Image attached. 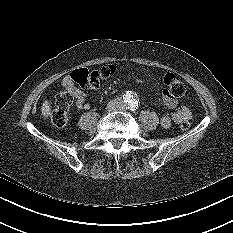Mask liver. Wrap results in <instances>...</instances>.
I'll return each mask as SVG.
<instances>
[{
    "mask_svg": "<svg viewBox=\"0 0 233 233\" xmlns=\"http://www.w3.org/2000/svg\"><path fill=\"white\" fill-rule=\"evenodd\" d=\"M42 115L44 118H47L48 116H50L51 114V106H50V102L48 100H45L42 104Z\"/></svg>",
    "mask_w": 233,
    "mask_h": 233,
    "instance_id": "obj_1",
    "label": "liver"
}]
</instances>
